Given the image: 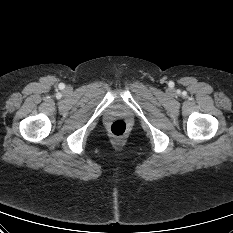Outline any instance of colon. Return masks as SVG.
Listing matches in <instances>:
<instances>
[{
    "label": "colon",
    "instance_id": "5ec220e1",
    "mask_svg": "<svg viewBox=\"0 0 233 233\" xmlns=\"http://www.w3.org/2000/svg\"><path fill=\"white\" fill-rule=\"evenodd\" d=\"M109 129L113 136L123 137L127 133L128 126L124 120L118 119L110 124Z\"/></svg>",
    "mask_w": 233,
    "mask_h": 233
}]
</instances>
